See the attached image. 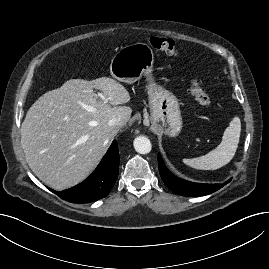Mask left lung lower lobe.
Returning <instances> with one entry per match:
<instances>
[{
  "label": "left lung lower lobe",
  "instance_id": "left-lung-lower-lobe-1",
  "mask_svg": "<svg viewBox=\"0 0 269 269\" xmlns=\"http://www.w3.org/2000/svg\"><path fill=\"white\" fill-rule=\"evenodd\" d=\"M158 166L160 176L165 183V185L171 189L173 192L183 195V196H203L210 193H213L220 188H222L225 184L231 181L229 179L227 182L223 184H202V183H193L183 179H180L174 176L164 165V162L161 158V155L158 154Z\"/></svg>",
  "mask_w": 269,
  "mask_h": 269
}]
</instances>
